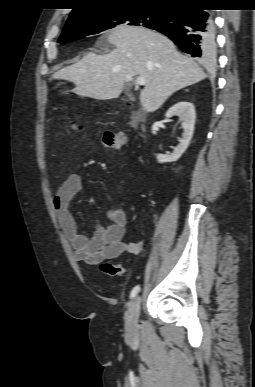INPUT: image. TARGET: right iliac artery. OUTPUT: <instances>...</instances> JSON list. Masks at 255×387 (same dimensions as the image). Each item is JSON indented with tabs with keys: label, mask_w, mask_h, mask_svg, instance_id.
I'll return each instance as SVG.
<instances>
[{
	"label": "right iliac artery",
	"mask_w": 255,
	"mask_h": 387,
	"mask_svg": "<svg viewBox=\"0 0 255 387\" xmlns=\"http://www.w3.org/2000/svg\"><path fill=\"white\" fill-rule=\"evenodd\" d=\"M139 290H140V286H139V285L135 286V287L132 289V291H131V297H135L136 294L139 292Z\"/></svg>",
	"instance_id": "1"
}]
</instances>
